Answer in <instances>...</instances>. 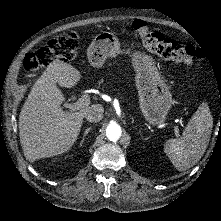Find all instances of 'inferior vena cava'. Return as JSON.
Returning a JSON list of instances; mask_svg holds the SVG:
<instances>
[{"label":"inferior vena cava","instance_id":"inferior-vena-cava-1","mask_svg":"<svg viewBox=\"0 0 221 221\" xmlns=\"http://www.w3.org/2000/svg\"><path fill=\"white\" fill-rule=\"evenodd\" d=\"M103 117L104 114L102 110H97V109L91 110L84 115V118L91 123L99 122L103 119Z\"/></svg>","mask_w":221,"mask_h":221}]
</instances>
